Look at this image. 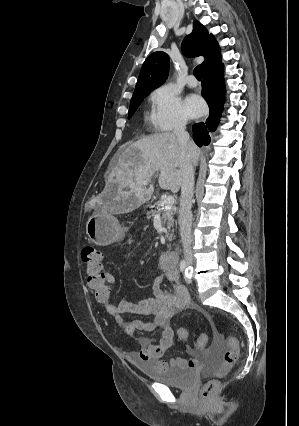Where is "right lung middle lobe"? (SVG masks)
<instances>
[{
    "instance_id": "1",
    "label": "right lung middle lobe",
    "mask_w": 299,
    "mask_h": 426,
    "mask_svg": "<svg viewBox=\"0 0 299 426\" xmlns=\"http://www.w3.org/2000/svg\"><path fill=\"white\" fill-rule=\"evenodd\" d=\"M149 93H150V91H141V92L133 94L132 99H131V103H130L128 118H130L134 114V112L136 111V109L138 108V106L141 104V102L143 101V99Z\"/></svg>"
}]
</instances>
